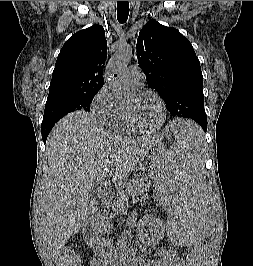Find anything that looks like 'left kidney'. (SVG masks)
Masks as SVG:
<instances>
[{"mask_svg": "<svg viewBox=\"0 0 253 266\" xmlns=\"http://www.w3.org/2000/svg\"><path fill=\"white\" fill-rule=\"evenodd\" d=\"M137 234L142 243L155 246L164 237L165 226L160 219L146 215L137 225Z\"/></svg>", "mask_w": 253, "mask_h": 266, "instance_id": "obj_1", "label": "left kidney"}]
</instances>
